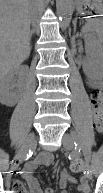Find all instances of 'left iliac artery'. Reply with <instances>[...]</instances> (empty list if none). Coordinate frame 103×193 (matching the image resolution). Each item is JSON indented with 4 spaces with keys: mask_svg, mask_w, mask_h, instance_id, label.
Masks as SVG:
<instances>
[{
    "mask_svg": "<svg viewBox=\"0 0 103 193\" xmlns=\"http://www.w3.org/2000/svg\"><path fill=\"white\" fill-rule=\"evenodd\" d=\"M72 136L75 139V146L78 147L79 150L83 152L85 160L89 162L90 161V151L88 147L79 140L76 134L73 133Z\"/></svg>",
    "mask_w": 103,
    "mask_h": 193,
    "instance_id": "44dca946",
    "label": "left iliac artery"
}]
</instances>
